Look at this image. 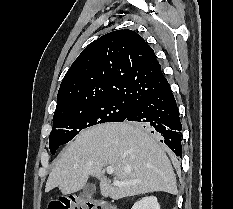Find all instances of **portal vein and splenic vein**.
I'll return each mask as SVG.
<instances>
[{"instance_id": "18ae733b", "label": "portal vein and splenic vein", "mask_w": 233, "mask_h": 209, "mask_svg": "<svg viewBox=\"0 0 233 209\" xmlns=\"http://www.w3.org/2000/svg\"><path fill=\"white\" fill-rule=\"evenodd\" d=\"M106 172L108 173V174H112L113 172H114V168L112 167V166H108L107 168H106ZM126 183H123V182H120V181H116V180H114L113 181V185H115V186H123V185H125Z\"/></svg>"}]
</instances>
